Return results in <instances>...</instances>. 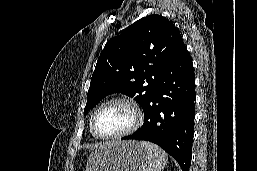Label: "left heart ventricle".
<instances>
[{"instance_id":"left-heart-ventricle-1","label":"left heart ventricle","mask_w":257,"mask_h":171,"mask_svg":"<svg viewBox=\"0 0 257 171\" xmlns=\"http://www.w3.org/2000/svg\"><path fill=\"white\" fill-rule=\"evenodd\" d=\"M135 120L130 107L113 104L104 108L96 118V129L102 135H115L128 129Z\"/></svg>"}]
</instances>
